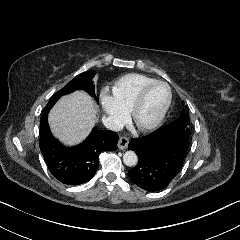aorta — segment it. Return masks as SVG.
<instances>
[{"label":"aorta","mask_w":240,"mask_h":240,"mask_svg":"<svg viewBox=\"0 0 240 240\" xmlns=\"http://www.w3.org/2000/svg\"><path fill=\"white\" fill-rule=\"evenodd\" d=\"M123 162L126 166H135L138 162V157L134 151H126L123 155Z\"/></svg>","instance_id":"762f6f07"}]
</instances>
